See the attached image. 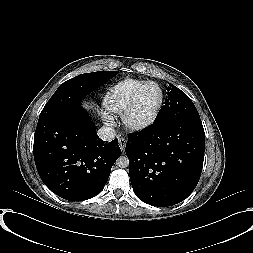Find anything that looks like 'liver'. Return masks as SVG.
I'll return each instance as SVG.
<instances>
[{"label":"liver","instance_id":"1","mask_svg":"<svg viewBox=\"0 0 253 253\" xmlns=\"http://www.w3.org/2000/svg\"><path fill=\"white\" fill-rule=\"evenodd\" d=\"M85 107L89 108L92 107V105L89 106V103H84Z\"/></svg>","mask_w":253,"mask_h":253}]
</instances>
